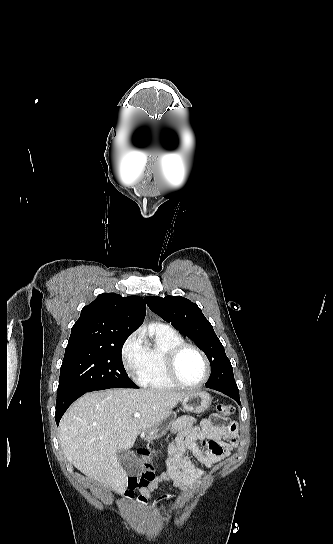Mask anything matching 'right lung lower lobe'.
Listing matches in <instances>:
<instances>
[{
  "label": "right lung lower lobe",
  "instance_id": "obj_1",
  "mask_svg": "<svg viewBox=\"0 0 333 544\" xmlns=\"http://www.w3.org/2000/svg\"><path fill=\"white\" fill-rule=\"evenodd\" d=\"M91 391L95 390H81L78 388L58 389L55 413V420L57 425L59 424L60 419L67 410V408L80 396Z\"/></svg>",
  "mask_w": 333,
  "mask_h": 544
}]
</instances>
